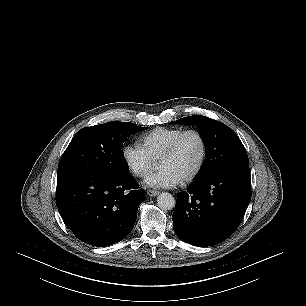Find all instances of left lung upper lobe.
Here are the masks:
<instances>
[{
    "label": "left lung upper lobe",
    "mask_w": 306,
    "mask_h": 306,
    "mask_svg": "<svg viewBox=\"0 0 306 306\" xmlns=\"http://www.w3.org/2000/svg\"><path fill=\"white\" fill-rule=\"evenodd\" d=\"M172 123L197 125L205 144L206 158L195 179L222 169L249 167L248 156L242 142L223 123L199 115L181 118Z\"/></svg>",
    "instance_id": "left-lung-upper-lobe-1"
}]
</instances>
